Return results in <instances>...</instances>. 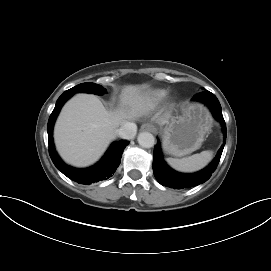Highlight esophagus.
<instances>
[{"instance_id": "34e87169", "label": "esophagus", "mask_w": 271, "mask_h": 271, "mask_svg": "<svg viewBox=\"0 0 271 271\" xmlns=\"http://www.w3.org/2000/svg\"><path fill=\"white\" fill-rule=\"evenodd\" d=\"M141 130L142 131H149V132H152L154 131V126L149 124V123H145L141 126Z\"/></svg>"}]
</instances>
